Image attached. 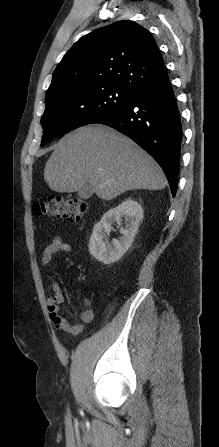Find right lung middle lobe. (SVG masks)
<instances>
[{
	"label": "right lung middle lobe",
	"mask_w": 219,
	"mask_h": 447,
	"mask_svg": "<svg viewBox=\"0 0 219 447\" xmlns=\"http://www.w3.org/2000/svg\"><path fill=\"white\" fill-rule=\"evenodd\" d=\"M134 94L114 86L102 85L85 92L59 90L46 95V109L41 118L44 146L55 137L91 124L103 115L129 103Z\"/></svg>",
	"instance_id": "obj_1"
}]
</instances>
